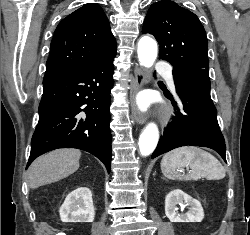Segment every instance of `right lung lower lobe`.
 <instances>
[{
	"mask_svg": "<svg viewBox=\"0 0 250 235\" xmlns=\"http://www.w3.org/2000/svg\"><path fill=\"white\" fill-rule=\"evenodd\" d=\"M115 56L111 53L79 71L44 78L27 167L48 151L78 148L95 155L110 172L109 108Z\"/></svg>",
	"mask_w": 250,
	"mask_h": 235,
	"instance_id": "obj_1",
	"label": "right lung lower lobe"
}]
</instances>
